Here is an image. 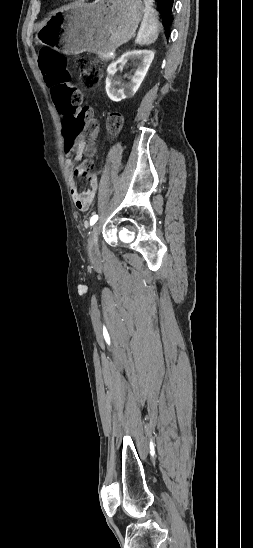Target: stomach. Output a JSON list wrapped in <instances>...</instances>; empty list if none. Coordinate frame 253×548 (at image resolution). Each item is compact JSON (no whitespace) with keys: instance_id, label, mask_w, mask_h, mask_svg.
Returning <instances> with one entry per match:
<instances>
[{"instance_id":"1","label":"stomach","mask_w":253,"mask_h":548,"mask_svg":"<svg viewBox=\"0 0 253 548\" xmlns=\"http://www.w3.org/2000/svg\"><path fill=\"white\" fill-rule=\"evenodd\" d=\"M141 0H95L57 11L37 33V42L76 55L111 53L128 42L143 17Z\"/></svg>"}]
</instances>
